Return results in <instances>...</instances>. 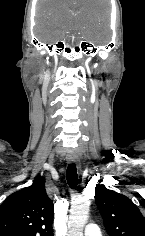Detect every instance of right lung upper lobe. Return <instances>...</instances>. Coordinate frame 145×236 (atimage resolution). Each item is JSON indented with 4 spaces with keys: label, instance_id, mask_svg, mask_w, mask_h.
I'll use <instances>...</instances> for the list:
<instances>
[{
    "label": "right lung upper lobe",
    "instance_id": "cb5924a9",
    "mask_svg": "<svg viewBox=\"0 0 145 236\" xmlns=\"http://www.w3.org/2000/svg\"><path fill=\"white\" fill-rule=\"evenodd\" d=\"M40 178L0 206V236H53V204Z\"/></svg>",
    "mask_w": 145,
    "mask_h": 236
}]
</instances>
